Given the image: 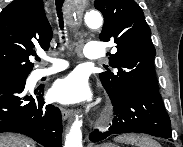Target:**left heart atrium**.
Here are the masks:
<instances>
[{
    "mask_svg": "<svg viewBox=\"0 0 183 147\" xmlns=\"http://www.w3.org/2000/svg\"><path fill=\"white\" fill-rule=\"evenodd\" d=\"M53 98L62 104L79 103L90 98V89L86 79L77 73L57 80L51 90Z\"/></svg>",
    "mask_w": 183,
    "mask_h": 147,
    "instance_id": "39dd6f15",
    "label": "left heart atrium"
}]
</instances>
